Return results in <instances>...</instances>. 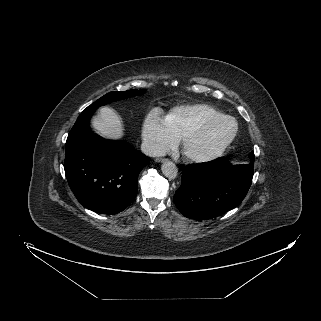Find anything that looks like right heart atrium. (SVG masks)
<instances>
[{"label": "right heart atrium", "instance_id": "d8ad5b80", "mask_svg": "<svg viewBox=\"0 0 321 321\" xmlns=\"http://www.w3.org/2000/svg\"><path fill=\"white\" fill-rule=\"evenodd\" d=\"M142 139L148 153L155 155L164 152L176 143L168 131L159 111L152 112L142 128Z\"/></svg>", "mask_w": 321, "mask_h": 321}]
</instances>
